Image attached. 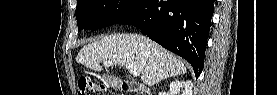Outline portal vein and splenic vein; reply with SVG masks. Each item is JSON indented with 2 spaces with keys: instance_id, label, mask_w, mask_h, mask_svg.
I'll return each mask as SVG.
<instances>
[{
  "instance_id": "1",
  "label": "portal vein and splenic vein",
  "mask_w": 277,
  "mask_h": 95,
  "mask_svg": "<svg viewBox=\"0 0 277 95\" xmlns=\"http://www.w3.org/2000/svg\"><path fill=\"white\" fill-rule=\"evenodd\" d=\"M105 66H110L112 65L111 61H107L104 63ZM127 70L132 74L133 76H139L140 71L133 65V64H127L126 65Z\"/></svg>"
}]
</instances>
